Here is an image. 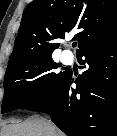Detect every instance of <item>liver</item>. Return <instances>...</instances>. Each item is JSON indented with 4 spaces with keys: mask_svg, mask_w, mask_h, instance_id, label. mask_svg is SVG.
Returning <instances> with one entry per match:
<instances>
[{
    "mask_svg": "<svg viewBox=\"0 0 117 136\" xmlns=\"http://www.w3.org/2000/svg\"><path fill=\"white\" fill-rule=\"evenodd\" d=\"M3 136H64L50 121L35 117L4 127Z\"/></svg>",
    "mask_w": 117,
    "mask_h": 136,
    "instance_id": "1",
    "label": "liver"
}]
</instances>
